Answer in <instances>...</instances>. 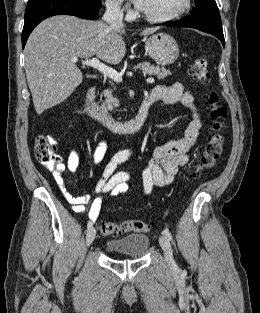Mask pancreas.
Masks as SVG:
<instances>
[{"label":"pancreas","instance_id":"obj_1","mask_svg":"<svg viewBox=\"0 0 260 313\" xmlns=\"http://www.w3.org/2000/svg\"><path fill=\"white\" fill-rule=\"evenodd\" d=\"M137 68L142 70L144 75H156L159 80L164 79L167 75H170L171 72L164 67H158L151 65L149 62L139 63ZM105 97V102L103 103V107L112 110L114 106H118L119 102L116 98L113 97L112 92L110 90H106L103 93Z\"/></svg>","mask_w":260,"mask_h":313}]
</instances>
